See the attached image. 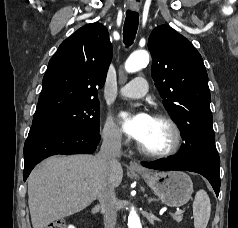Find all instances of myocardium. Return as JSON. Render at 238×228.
<instances>
[{"label": "myocardium", "instance_id": "1", "mask_svg": "<svg viewBox=\"0 0 238 228\" xmlns=\"http://www.w3.org/2000/svg\"><path fill=\"white\" fill-rule=\"evenodd\" d=\"M153 119L162 120L169 125L173 135L172 144L170 145L169 148L163 151H150L145 149L138 141L137 142L138 151L146 157L155 159L167 158L174 155L179 150L182 141V135L179 126L171 116L162 112L155 113L153 115Z\"/></svg>", "mask_w": 238, "mask_h": 228}]
</instances>
